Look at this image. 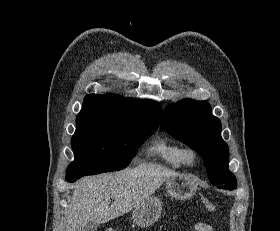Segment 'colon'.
Wrapping results in <instances>:
<instances>
[{"label": "colon", "mask_w": 280, "mask_h": 231, "mask_svg": "<svg viewBox=\"0 0 280 231\" xmlns=\"http://www.w3.org/2000/svg\"><path fill=\"white\" fill-rule=\"evenodd\" d=\"M202 206L208 212H213L216 208L215 204L206 197H204L202 200Z\"/></svg>", "instance_id": "colon-1"}]
</instances>
